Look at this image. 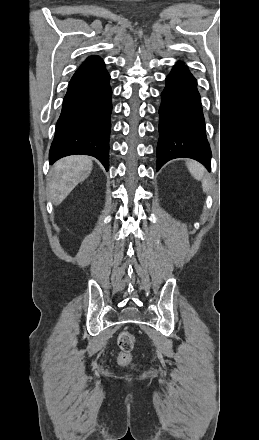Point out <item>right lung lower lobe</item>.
<instances>
[{"instance_id":"obj_1","label":"right lung lower lobe","mask_w":259,"mask_h":440,"mask_svg":"<svg viewBox=\"0 0 259 440\" xmlns=\"http://www.w3.org/2000/svg\"><path fill=\"white\" fill-rule=\"evenodd\" d=\"M110 75L98 56L87 58L70 80L56 124L49 162L73 154L96 157L109 168Z\"/></svg>"}]
</instances>
